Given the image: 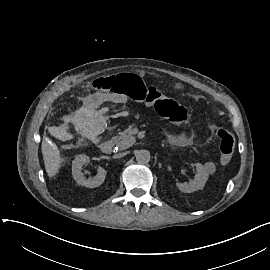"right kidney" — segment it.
Instances as JSON below:
<instances>
[{
  "label": "right kidney",
  "mask_w": 270,
  "mask_h": 270,
  "mask_svg": "<svg viewBox=\"0 0 270 270\" xmlns=\"http://www.w3.org/2000/svg\"><path fill=\"white\" fill-rule=\"evenodd\" d=\"M90 163V158L86 155H79L73 161L72 165V176L76 182L82 186L88 188H95L100 186L106 177V170L101 166H98V173L95 177L85 178L84 173H82L83 166Z\"/></svg>",
  "instance_id": "obj_1"
}]
</instances>
